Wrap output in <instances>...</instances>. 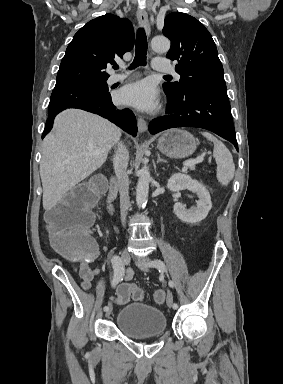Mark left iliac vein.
I'll list each match as a JSON object with an SVG mask.
<instances>
[{"instance_id": "left-iliac-vein-1", "label": "left iliac vein", "mask_w": 283, "mask_h": 384, "mask_svg": "<svg viewBox=\"0 0 283 384\" xmlns=\"http://www.w3.org/2000/svg\"><path fill=\"white\" fill-rule=\"evenodd\" d=\"M151 261L149 260V259H142L141 260V263L139 264V267L142 269V270H144V271H148L149 270V263H150ZM172 302H173V295H172V293H170V292H168V295H167V305L169 306V307H171V305H172Z\"/></svg>"}]
</instances>
